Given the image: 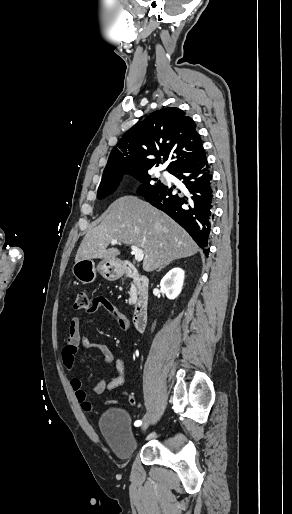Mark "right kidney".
Instances as JSON below:
<instances>
[{"label": "right kidney", "mask_w": 292, "mask_h": 514, "mask_svg": "<svg viewBox=\"0 0 292 514\" xmlns=\"http://www.w3.org/2000/svg\"><path fill=\"white\" fill-rule=\"evenodd\" d=\"M184 282V270L181 268H173L170 270L160 282L162 290H164L169 300H175L179 296Z\"/></svg>", "instance_id": "obj_1"}]
</instances>
